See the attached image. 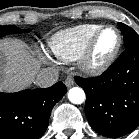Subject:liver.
Wrapping results in <instances>:
<instances>
[{
  "instance_id": "6515ba94",
  "label": "liver",
  "mask_w": 139,
  "mask_h": 139,
  "mask_svg": "<svg viewBox=\"0 0 139 139\" xmlns=\"http://www.w3.org/2000/svg\"><path fill=\"white\" fill-rule=\"evenodd\" d=\"M40 63L17 39L0 41V91L15 92L34 81Z\"/></svg>"
}]
</instances>
